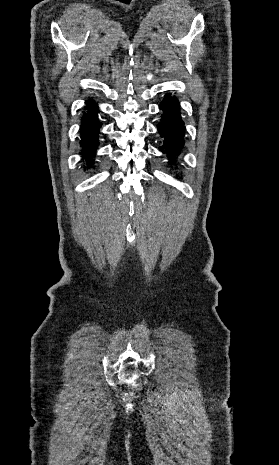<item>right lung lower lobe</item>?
<instances>
[{"instance_id": "1", "label": "right lung lower lobe", "mask_w": 279, "mask_h": 465, "mask_svg": "<svg viewBox=\"0 0 279 465\" xmlns=\"http://www.w3.org/2000/svg\"><path fill=\"white\" fill-rule=\"evenodd\" d=\"M85 104L86 107L84 108L81 118L79 142L81 146L80 154L82 156V161L88 168L94 163L96 149L99 144L98 134L101 123L97 118V104L92 99L87 100Z\"/></svg>"}]
</instances>
